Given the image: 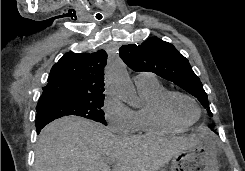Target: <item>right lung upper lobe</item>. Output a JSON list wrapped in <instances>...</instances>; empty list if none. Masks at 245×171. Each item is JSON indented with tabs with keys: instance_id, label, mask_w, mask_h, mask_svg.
<instances>
[{
	"instance_id": "1",
	"label": "right lung upper lobe",
	"mask_w": 245,
	"mask_h": 171,
	"mask_svg": "<svg viewBox=\"0 0 245 171\" xmlns=\"http://www.w3.org/2000/svg\"><path fill=\"white\" fill-rule=\"evenodd\" d=\"M107 53H66L52 67L38 104L52 98L103 95Z\"/></svg>"
}]
</instances>
